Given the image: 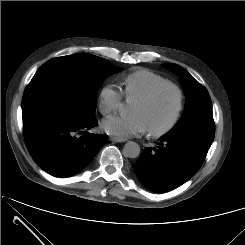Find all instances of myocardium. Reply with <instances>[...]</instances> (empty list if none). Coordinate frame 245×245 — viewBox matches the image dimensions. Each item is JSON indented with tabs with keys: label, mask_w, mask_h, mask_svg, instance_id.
<instances>
[{
	"label": "myocardium",
	"mask_w": 245,
	"mask_h": 245,
	"mask_svg": "<svg viewBox=\"0 0 245 245\" xmlns=\"http://www.w3.org/2000/svg\"><path fill=\"white\" fill-rule=\"evenodd\" d=\"M167 91L174 93L176 96L175 109H174V112H173L170 120L167 122L166 125H164L161 128H158V129H152V128L147 129L148 134L154 138L162 137V136L168 134L178 124L180 117H181V114H182V111H183V107H184L183 91L176 84L169 83V84H164V85L154 87L148 93H146V94H144V95L133 100L134 102H138V103H149Z\"/></svg>",
	"instance_id": "f54148a6"
}]
</instances>
